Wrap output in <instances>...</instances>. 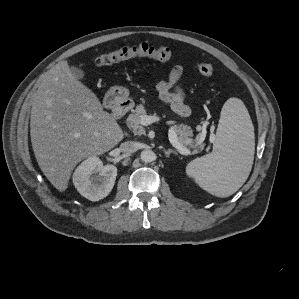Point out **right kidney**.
<instances>
[{"instance_id": "1", "label": "right kidney", "mask_w": 299, "mask_h": 299, "mask_svg": "<svg viewBox=\"0 0 299 299\" xmlns=\"http://www.w3.org/2000/svg\"><path fill=\"white\" fill-rule=\"evenodd\" d=\"M117 176L114 165H103L92 156L84 160L73 174V183L79 193L91 201L105 198L112 190Z\"/></svg>"}]
</instances>
